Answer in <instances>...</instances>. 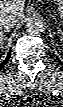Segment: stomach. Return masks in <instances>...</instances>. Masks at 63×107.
I'll return each instance as SVG.
<instances>
[{
    "mask_svg": "<svg viewBox=\"0 0 63 107\" xmlns=\"http://www.w3.org/2000/svg\"><path fill=\"white\" fill-rule=\"evenodd\" d=\"M57 12L60 14V16H63V1L59 0L57 1Z\"/></svg>",
    "mask_w": 63,
    "mask_h": 107,
    "instance_id": "1",
    "label": "stomach"
}]
</instances>
